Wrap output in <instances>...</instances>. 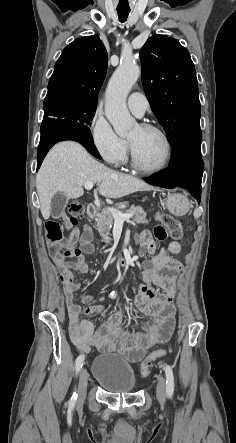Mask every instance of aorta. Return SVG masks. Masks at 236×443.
Returning <instances> with one entry per match:
<instances>
[{"instance_id":"obj_1","label":"aorta","mask_w":236,"mask_h":443,"mask_svg":"<svg viewBox=\"0 0 236 443\" xmlns=\"http://www.w3.org/2000/svg\"><path fill=\"white\" fill-rule=\"evenodd\" d=\"M140 73L136 64L123 61L113 73L106 89L105 114L120 137L128 136L137 124L127 109L126 99Z\"/></svg>"}]
</instances>
